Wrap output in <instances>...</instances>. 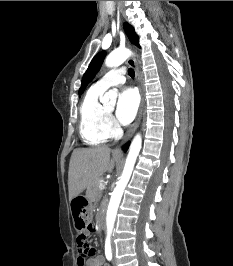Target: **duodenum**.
Returning <instances> with one entry per match:
<instances>
[{
	"label": "duodenum",
	"mask_w": 233,
	"mask_h": 266,
	"mask_svg": "<svg viewBox=\"0 0 233 266\" xmlns=\"http://www.w3.org/2000/svg\"><path fill=\"white\" fill-rule=\"evenodd\" d=\"M98 225H99L100 228H104V225H105V212H104V209H102L100 214H99Z\"/></svg>",
	"instance_id": "1"
}]
</instances>
